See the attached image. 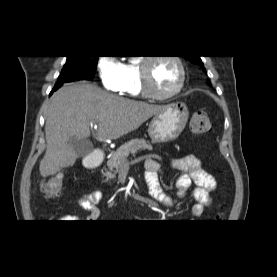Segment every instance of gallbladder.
I'll list each match as a JSON object with an SVG mask.
<instances>
[{"label": "gallbladder", "instance_id": "1", "mask_svg": "<svg viewBox=\"0 0 277 277\" xmlns=\"http://www.w3.org/2000/svg\"><path fill=\"white\" fill-rule=\"evenodd\" d=\"M71 147L79 157H85L93 151V144L87 139L71 137L68 141Z\"/></svg>", "mask_w": 277, "mask_h": 277}]
</instances>
